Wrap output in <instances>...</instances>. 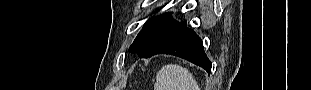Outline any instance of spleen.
Listing matches in <instances>:
<instances>
[{"instance_id": "3e777b00", "label": "spleen", "mask_w": 311, "mask_h": 90, "mask_svg": "<svg viewBox=\"0 0 311 90\" xmlns=\"http://www.w3.org/2000/svg\"><path fill=\"white\" fill-rule=\"evenodd\" d=\"M155 90H200L193 75L177 64L163 66L156 75Z\"/></svg>"}]
</instances>
